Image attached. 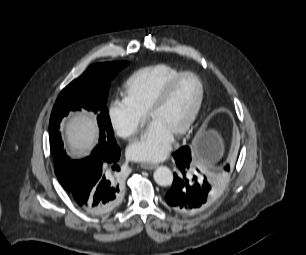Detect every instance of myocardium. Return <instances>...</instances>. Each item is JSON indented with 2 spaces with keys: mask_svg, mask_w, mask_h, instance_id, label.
Segmentation results:
<instances>
[{
  "mask_svg": "<svg viewBox=\"0 0 306 255\" xmlns=\"http://www.w3.org/2000/svg\"><path fill=\"white\" fill-rule=\"evenodd\" d=\"M186 77H193L197 81L199 85V96H198L197 102L192 112L190 113L189 117L184 122V124L175 132L176 137L182 136L193 126L203 106V102L205 98V88H204L203 81L196 73L191 72V71H183L180 74L173 77L170 81L167 82V84L157 94V96L154 98V100L152 101V103L150 104L146 112V116L149 119L158 109L162 107V105L165 103L169 95L172 93L175 86L182 79Z\"/></svg>",
  "mask_w": 306,
  "mask_h": 255,
  "instance_id": "1",
  "label": "myocardium"
}]
</instances>
